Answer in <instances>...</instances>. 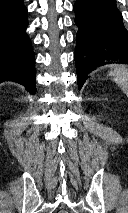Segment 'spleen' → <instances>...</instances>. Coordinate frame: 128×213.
<instances>
[{"mask_svg": "<svg viewBox=\"0 0 128 213\" xmlns=\"http://www.w3.org/2000/svg\"><path fill=\"white\" fill-rule=\"evenodd\" d=\"M109 76L128 97V69L123 65H116L109 72Z\"/></svg>", "mask_w": 128, "mask_h": 213, "instance_id": "obj_1", "label": "spleen"}]
</instances>
